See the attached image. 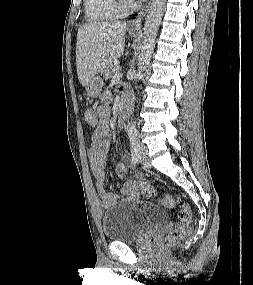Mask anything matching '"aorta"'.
Returning <instances> with one entry per match:
<instances>
[{
  "mask_svg": "<svg viewBox=\"0 0 253 285\" xmlns=\"http://www.w3.org/2000/svg\"><path fill=\"white\" fill-rule=\"evenodd\" d=\"M166 0H152L145 19L142 42L138 56V71L136 77L140 78L148 64L154 47L155 39L165 10ZM127 132L129 135L137 133L133 122H128Z\"/></svg>",
  "mask_w": 253,
  "mask_h": 285,
  "instance_id": "762f6f07",
  "label": "aorta"
}]
</instances>
